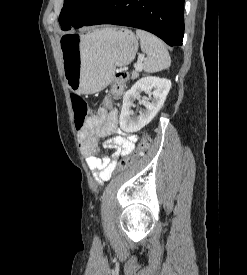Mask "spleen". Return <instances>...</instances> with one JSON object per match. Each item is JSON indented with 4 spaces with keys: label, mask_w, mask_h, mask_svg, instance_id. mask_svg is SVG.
Instances as JSON below:
<instances>
[{
    "label": "spleen",
    "mask_w": 247,
    "mask_h": 275,
    "mask_svg": "<svg viewBox=\"0 0 247 275\" xmlns=\"http://www.w3.org/2000/svg\"><path fill=\"white\" fill-rule=\"evenodd\" d=\"M136 35L140 39L141 50L147 55L142 66L145 72L155 73L170 67L169 52L158 37L140 29L136 30Z\"/></svg>",
    "instance_id": "3e777b00"
}]
</instances>
